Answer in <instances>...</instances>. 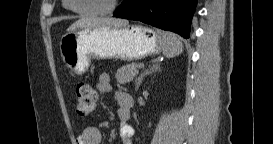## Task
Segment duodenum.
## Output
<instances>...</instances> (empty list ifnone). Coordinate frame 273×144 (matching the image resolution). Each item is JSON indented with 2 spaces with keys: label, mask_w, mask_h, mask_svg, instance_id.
Returning a JSON list of instances; mask_svg holds the SVG:
<instances>
[{
  "label": "duodenum",
  "mask_w": 273,
  "mask_h": 144,
  "mask_svg": "<svg viewBox=\"0 0 273 144\" xmlns=\"http://www.w3.org/2000/svg\"><path fill=\"white\" fill-rule=\"evenodd\" d=\"M122 106L127 110V117H130V109L133 106V99L129 96L126 95L122 100H121Z\"/></svg>",
  "instance_id": "1"
}]
</instances>
